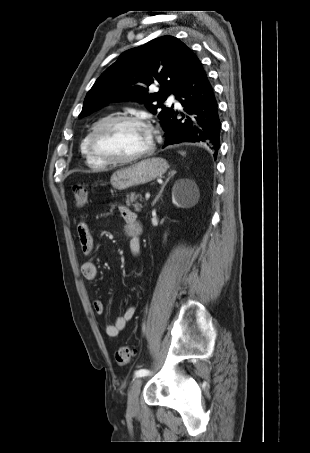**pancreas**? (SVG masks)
Wrapping results in <instances>:
<instances>
[{
  "instance_id": "pancreas-1",
  "label": "pancreas",
  "mask_w": 310,
  "mask_h": 453,
  "mask_svg": "<svg viewBox=\"0 0 310 453\" xmlns=\"http://www.w3.org/2000/svg\"><path fill=\"white\" fill-rule=\"evenodd\" d=\"M140 198V201H142L141 194H136L135 192H131L126 195V205L127 206H133L135 211H140L143 206L141 203H139L137 200Z\"/></svg>"
}]
</instances>
